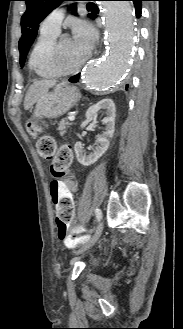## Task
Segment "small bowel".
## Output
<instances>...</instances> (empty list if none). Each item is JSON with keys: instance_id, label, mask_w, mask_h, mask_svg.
Wrapping results in <instances>:
<instances>
[{"instance_id": "obj_1", "label": "small bowel", "mask_w": 183, "mask_h": 329, "mask_svg": "<svg viewBox=\"0 0 183 329\" xmlns=\"http://www.w3.org/2000/svg\"><path fill=\"white\" fill-rule=\"evenodd\" d=\"M52 207L54 208V218H75L77 202L75 201V192L77 185L72 181L62 182L61 178H51L47 183ZM81 237H68L64 244L68 248H74Z\"/></svg>"}]
</instances>
